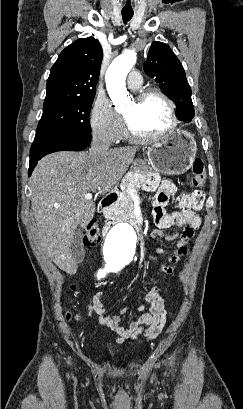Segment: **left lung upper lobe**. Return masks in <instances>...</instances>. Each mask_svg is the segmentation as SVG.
Segmentation results:
<instances>
[{"mask_svg":"<svg viewBox=\"0 0 243 409\" xmlns=\"http://www.w3.org/2000/svg\"><path fill=\"white\" fill-rule=\"evenodd\" d=\"M143 68L148 76L160 84L163 93L175 102L178 118L190 122L195 114L191 88L183 66L171 48L165 43L154 41Z\"/></svg>","mask_w":243,"mask_h":409,"instance_id":"obj_1","label":"left lung upper lobe"}]
</instances>
